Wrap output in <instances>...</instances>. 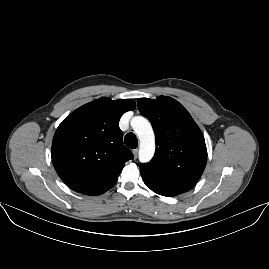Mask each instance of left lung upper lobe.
<instances>
[{
    "instance_id": "left-lung-upper-lobe-1",
    "label": "left lung upper lobe",
    "mask_w": 269,
    "mask_h": 269,
    "mask_svg": "<svg viewBox=\"0 0 269 269\" xmlns=\"http://www.w3.org/2000/svg\"><path fill=\"white\" fill-rule=\"evenodd\" d=\"M138 108L153 126L156 153L140 172L162 180L195 185L207 162L205 140L189 112L175 99L140 98Z\"/></svg>"
}]
</instances>
